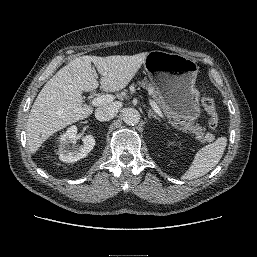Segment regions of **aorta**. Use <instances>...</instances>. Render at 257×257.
<instances>
[{"label":"aorta","mask_w":257,"mask_h":257,"mask_svg":"<svg viewBox=\"0 0 257 257\" xmlns=\"http://www.w3.org/2000/svg\"><path fill=\"white\" fill-rule=\"evenodd\" d=\"M123 121L127 125L134 126L140 121V113L134 108H127L123 111Z\"/></svg>","instance_id":"1"}]
</instances>
